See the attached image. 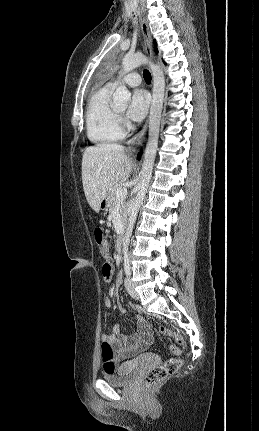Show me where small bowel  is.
Here are the masks:
<instances>
[{
  "label": "small bowel",
  "mask_w": 259,
  "mask_h": 431,
  "mask_svg": "<svg viewBox=\"0 0 259 431\" xmlns=\"http://www.w3.org/2000/svg\"><path fill=\"white\" fill-rule=\"evenodd\" d=\"M104 281H110L113 275L110 267L105 266L101 272ZM104 305L107 308L112 307V299L107 297L104 301ZM138 324V333L136 335H121L119 336V325L115 323L112 326L111 333L103 334V342L110 344L113 354L111 357H105L102 354L104 369L108 366H113L115 369L121 361H129L138 354L142 353L152 343V334L149 326L142 316L136 318Z\"/></svg>",
  "instance_id": "1"
}]
</instances>
